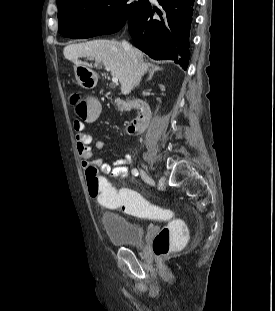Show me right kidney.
<instances>
[{
	"mask_svg": "<svg viewBox=\"0 0 275 311\" xmlns=\"http://www.w3.org/2000/svg\"><path fill=\"white\" fill-rule=\"evenodd\" d=\"M161 88L163 89L164 87L162 86ZM154 95H155L156 97H161V96L163 95V92H162L161 90H156V91L154 92Z\"/></svg>",
	"mask_w": 275,
	"mask_h": 311,
	"instance_id": "1",
	"label": "right kidney"
}]
</instances>
